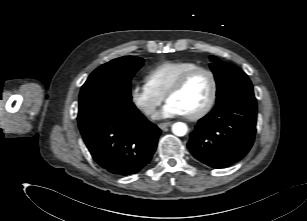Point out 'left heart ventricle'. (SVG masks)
I'll return each instance as SVG.
<instances>
[{"label": "left heart ventricle", "instance_id": "obj_1", "mask_svg": "<svg viewBox=\"0 0 307 221\" xmlns=\"http://www.w3.org/2000/svg\"><path fill=\"white\" fill-rule=\"evenodd\" d=\"M211 95V80L208 74H195L184 88L172 95L168 101L178 105L185 115L199 111L209 100Z\"/></svg>", "mask_w": 307, "mask_h": 221}]
</instances>
